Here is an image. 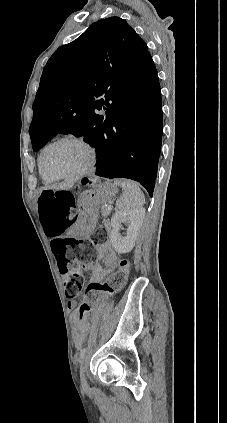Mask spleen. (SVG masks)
I'll use <instances>...</instances> for the list:
<instances>
[{
	"label": "spleen",
	"mask_w": 227,
	"mask_h": 423,
	"mask_svg": "<svg viewBox=\"0 0 227 423\" xmlns=\"http://www.w3.org/2000/svg\"><path fill=\"white\" fill-rule=\"evenodd\" d=\"M115 186H121L123 196L116 202L118 210H139L145 204V196L139 186L131 180H115Z\"/></svg>",
	"instance_id": "spleen-1"
}]
</instances>
